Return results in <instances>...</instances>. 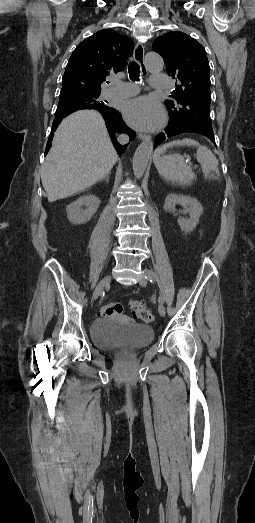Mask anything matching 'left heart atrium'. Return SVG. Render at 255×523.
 <instances>
[{
  "label": "left heart atrium",
  "mask_w": 255,
  "mask_h": 523,
  "mask_svg": "<svg viewBox=\"0 0 255 523\" xmlns=\"http://www.w3.org/2000/svg\"><path fill=\"white\" fill-rule=\"evenodd\" d=\"M126 121L139 129L158 128L164 119L161 104L149 96L127 100L122 105Z\"/></svg>",
  "instance_id": "1"
}]
</instances>
